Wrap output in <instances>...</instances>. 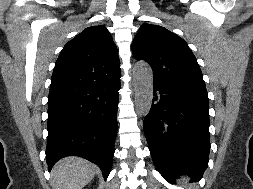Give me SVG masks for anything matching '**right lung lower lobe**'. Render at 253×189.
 Wrapping results in <instances>:
<instances>
[{"mask_svg": "<svg viewBox=\"0 0 253 189\" xmlns=\"http://www.w3.org/2000/svg\"><path fill=\"white\" fill-rule=\"evenodd\" d=\"M120 75L95 84L50 87L48 170L61 158L80 156L97 164L107 179L117 133Z\"/></svg>", "mask_w": 253, "mask_h": 189, "instance_id": "1", "label": "right lung lower lobe"}]
</instances>
